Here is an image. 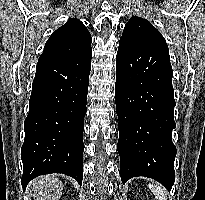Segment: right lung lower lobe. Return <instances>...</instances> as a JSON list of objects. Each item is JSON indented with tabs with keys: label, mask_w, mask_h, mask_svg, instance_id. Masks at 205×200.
<instances>
[{
	"label": "right lung lower lobe",
	"mask_w": 205,
	"mask_h": 200,
	"mask_svg": "<svg viewBox=\"0 0 205 200\" xmlns=\"http://www.w3.org/2000/svg\"><path fill=\"white\" fill-rule=\"evenodd\" d=\"M91 58V48L75 55L40 56L24 122L23 189L49 173L66 174L82 184Z\"/></svg>",
	"instance_id": "obj_1"
}]
</instances>
